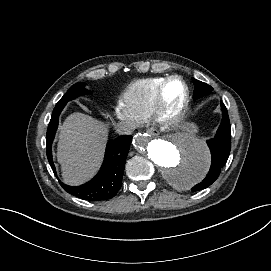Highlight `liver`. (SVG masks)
Returning a JSON list of instances; mask_svg holds the SVG:
<instances>
[{
  "mask_svg": "<svg viewBox=\"0 0 271 271\" xmlns=\"http://www.w3.org/2000/svg\"><path fill=\"white\" fill-rule=\"evenodd\" d=\"M108 136L107 124L82 113H73L60 127L57 160L64 183L77 186L98 170Z\"/></svg>",
  "mask_w": 271,
  "mask_h": 271,
  "instance_id": "6515ba94",
  "label": "liver"
}]
</instances>
